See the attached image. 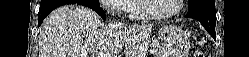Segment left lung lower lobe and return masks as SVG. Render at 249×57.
Here are the masks:
<instances>
[{"instance_id": "1", "label": "left lung lower lobe", "mask_w": 249, "mask_h": 57, "mask_svg": "<svg viewBox=\"0 0 249 57\" xmlns=\"http://www.w3.org/2000/svg\"><path fill=\"white\" fill-rule=\"evenodd\" d=\"M188 18H193L204 26L211 36L216 39L215 25H216V10L215 5H205L193 11H189L186 15Z\"/></svg>"}]
</instances>
